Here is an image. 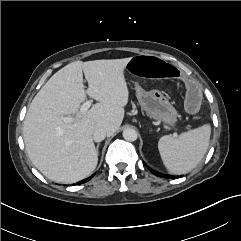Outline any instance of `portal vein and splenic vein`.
Returning <instances> with one entry per match:
<instances>
[{"mask_svg": "<svg viewBox=\"0 0 241 241\" xmlns=\"http://www.w3.org/2000/svg\"><path fill=\"white\" fill-rule=\"evenodd\" d=\"M91 104H92L91 100L84 102L80 108V112L82 114L85 113L90 108ZM62 120L66 123H71L74 121V118L73 117H63Z\"/></svg>", "mask_w": 241, "mask_h": 241, "instance_id": "18ae733b", "label": "portal vein and splenic vein"}]
</instances>
